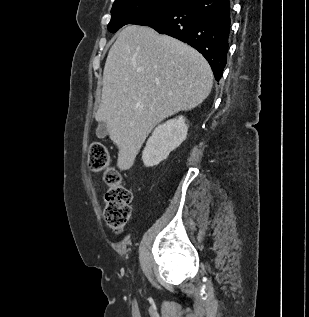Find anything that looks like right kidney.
Wrapping results in <instances>:
<instances>
[{"instance_id":"1","label":"right kidney","mask_w":309,"mask_h":317,"mask_svg":"<svg viewBox=\"0 0 309 317\" xmlns=\"http://www.w3.org/2000/svg\"><path fill=\"white\" fill-rule=\"evenodd\" d=\"M188 125L183 116L158 125L147 140L142 160L146 167L157 166L186 139Z\"/></svg>"}]
</instances>
